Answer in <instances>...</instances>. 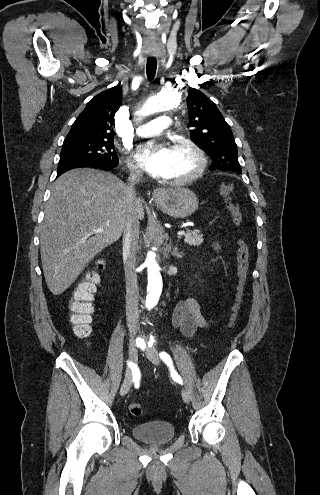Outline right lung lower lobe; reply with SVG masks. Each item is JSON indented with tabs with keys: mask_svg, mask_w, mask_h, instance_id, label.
I'll use <instances>...</instances> for the list:
<instances>
[{
	"mask_svg": "<svg viewBox=\"0 0 320 495\" xmlns=\"http://www.w3.org/2000/svg\"><path fill=\"white\" fill-rule=\"evenodd\" d=\"M117 165H118V163H117V164L87 163V164L78 165V166H73V167H70V168H68V169L58 171V172H57V177H58V176H60L61 174H63L64 172H66V171H68V170H71V169H74V168H80V167H92V168H97V169H101V170H105V171H110V170H112L114 167H116Z\"/></svg>",
	"mask_w": 320,
	"mask_h": 495,
	"instance_id": "1",
	"label": "right lung lower lobe"
}]
</instances>
